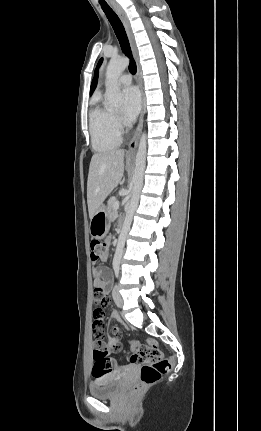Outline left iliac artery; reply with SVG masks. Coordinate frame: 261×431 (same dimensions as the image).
Listing matches in <instances>:
<instances>
[{
    "label": "left iliac artery",
    "instance_id": "left-iliac-artery-1",
    "mask_svg": "<svg viewBox=\"0 0 261 431\" xmlns=\"http://www.w3.org/2000/svg\"><path fill=\"white\" fill-rule=\"evenodd\" d=\"M115 275H116V277H118V275H119V268L115 269Z\"/></svg>",
    "mask_w": 261,
    "mask_h": 431
}]
</instances>
